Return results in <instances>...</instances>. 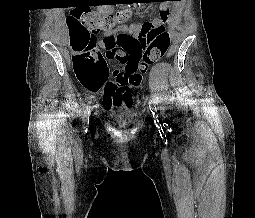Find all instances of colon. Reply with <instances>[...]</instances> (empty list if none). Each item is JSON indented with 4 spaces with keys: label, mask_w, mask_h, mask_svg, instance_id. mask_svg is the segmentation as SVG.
Instances as JSON below:
<instances>
[{
    "label": "colon",
    "mask_w": 255,
    "mask_h": 218,
    "mask_svg": "<svg viewBox=\"0 0 255 218\" xmlns=\"http://www.w3.org/2000/svg\"><path fill=\"white\" fill-rule=\"evenodd\" d=\"M168 1V0H167ZM129 17L128 10L117 14H100L87 8H76L67 17L73 72L78 82L90 91L104 90L109 107L132 104L127 87L138 86L140 72L166 53L170 38L163 22H144L135 34L120 33L107 41L106 52L97 47L95 33L111 31ZM162 20L167 12L160 13ZM124 62L123 71H110L107 60ZM123 94V98L121 95Z\"/></svg>",
    "instance_id": "5ec220e1"
}]
</instances>
